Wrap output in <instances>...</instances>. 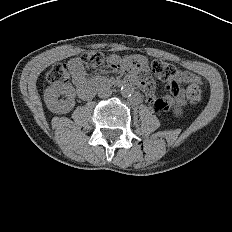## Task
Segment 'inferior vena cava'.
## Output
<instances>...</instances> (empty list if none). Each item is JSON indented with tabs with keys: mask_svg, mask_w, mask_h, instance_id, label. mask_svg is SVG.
Wrapping results in <instances>:
<instances>
[{
	"mask_svg": "<svg viewBox=\"0 0 232 232\" xmlns=\"http://www.w3.org/2000/svg\"><path fill=\"white\" fill-rule=\"evenodd\" d=\"M111 94H112V90L109 87L101 86L98 89V96L100 98H108L111 96Z\"/></svg>",
	"mask_w": 232,
	"mask_h": 232,
	"instance_id": "1",
	"label": "inferior vena cava"
}]
</instances>
